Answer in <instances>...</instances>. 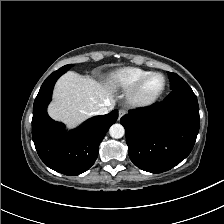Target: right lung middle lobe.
I'll list each match as a JSON object with an SVG mask.
<instances>
[{"mask_svg": "<svg viewBox=\"0 0 224 224\" xmlns=\"http://www.w3.org/2000/svg\"><path fill=\"white\" fill-rule=\"evenodd\" d=\"M72 66H73V65H71V64H69V65H65V66L61 67L60 70H65V71H67V70H69Z\"/></svg>", "mask_w": 224, "mask_h": 224, "instance_id": "obj_1", "label": "right lung middle lobe"}]
</instances>
